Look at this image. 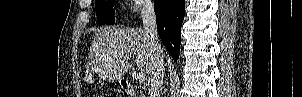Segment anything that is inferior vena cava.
Returning <instances> with one entry per match:
<instances>
[{"mask_svg":"<svg viewBox=\"0 0 302 97\" xmlns=\"http://www.w3.org/2000/svg\"><path fill=\"white\" fill-rule=\"evenodd\" d=\"M141 16L144 31L150 38L151 47L153 49L152 64L150 69L151 84L148 94L149 97H160L164 77V54L159 41L156 16L152 2L147 1L144 3Z\"/></svg>","mask_w":302,"mask_h":97,"instance_id":"obj_1","label":"inferior vena cava"}]
</instances>
